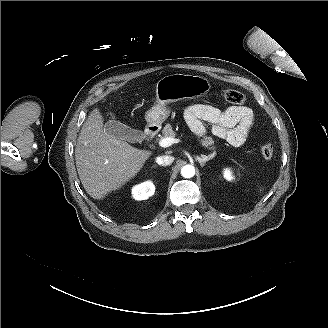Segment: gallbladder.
Returning <instances> with one entry per match:
<instances>
[{
  "instance_id": "1",
  "label": "gallbladder",
  "mask_w": 328,
  "mask_h": 328,
  "mask_svg": "<svg viewBox=\"0 0 328 328\" xmlns=\"http://www.w3.org/2000/svg\"><path fill=\"white\" fill-rule=\"evenodd\" d=\"M103 131L110 137L125 140L130 143H141L146 137L143 131L132 129L129 126L115 120L106 122Z\"/></svg>"
}]
</instances>
